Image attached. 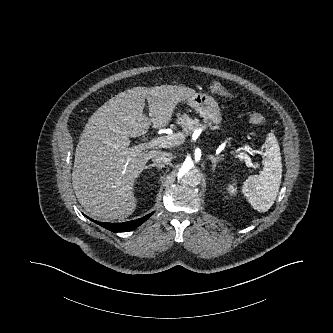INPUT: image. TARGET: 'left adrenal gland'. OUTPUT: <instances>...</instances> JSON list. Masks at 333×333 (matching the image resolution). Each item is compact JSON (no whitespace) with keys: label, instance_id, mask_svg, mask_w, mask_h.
<instances>
[{"label":"left adrenal gland","instance_id":"left-adrenal-gland-1","mask_svg":"<svg viewBox=\"0 0 333 333\" xmlns=\"http://www.w3.org/2000/svg\"><path fill=\"white\" fill-rule=\"evenodd\" d=\"M209 159L211 160V162H212V170L214 171L215 170V168H216V166H217V162H218V160H217V158L215 157V156H213V155H209Z\"/></svg>","mask_w":333,"mask_h":333}]
</instances>
